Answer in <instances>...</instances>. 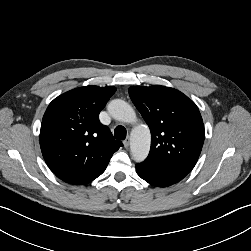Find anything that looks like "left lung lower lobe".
<instances>
[{
	"label": "left lung lower lobe",
	"instance_id": "0a47b994",
	"mask_svg": "<svg viewBox=\"0 0 251 251\" xmlns=\"http://www.w3.org/2000/svg\"><path fill=\"white\" fill-rule=\"evenodd\" d=\"M136 171L143 180L156 187L175 184L189 173L179 168L155 166L144 162L136 165Z\"/></svg>",
	"mask_w": 251,
	"mask_h": 251
}]
</instances>
